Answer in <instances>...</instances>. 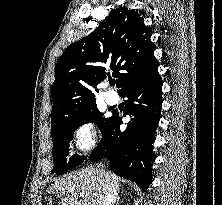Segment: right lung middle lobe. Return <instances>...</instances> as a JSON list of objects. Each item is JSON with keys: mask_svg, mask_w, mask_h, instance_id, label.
Returning a JSON list of instances; mask_svg holds the SVG:
<instances>
[{"mask_svg": "<svg viewBox=\"0 0 222 205\" xmlns=\"http://www.w3.org/2000/svg\"><path fill=\"white\" fill-rule=\"evenodd\" d=\"M113 116L103 118L102 113L96 107L91 105L69 117L51 123V137L53 141V173L57 175L67 172L69 169L80 165L85 156L77 154L70 157L69 162L65 157L69 154V142L73 139L74 131L85 123L94 122L103 134L112 121Z\"/></svg>", "mask_w": 222, "mask_h": 205, "instance_id": "right-lung-middle-lobe-1", "label": "right lung middle lobe"}]
</instances>
